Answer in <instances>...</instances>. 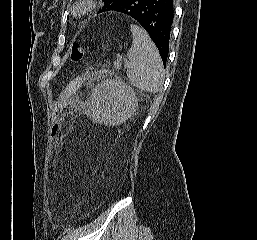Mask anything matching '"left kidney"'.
<instances>
[{
	"label": "left kidney",
	"instance_id": "1",
	"mask_svg": "<svg viewBox=\"0 0 257 240\" xmlns=\"http://www.w3.org/2000/svg\"><path fill=\"white\" fill-rule=\"evenodd\" d=\"M138 106L134 90L120 79L96 86L92 98L91 118L108 125H119L130 118Z\"/></svg>",
	"mask_w": 257,
	"mask_h": 240
}]
</instances>
